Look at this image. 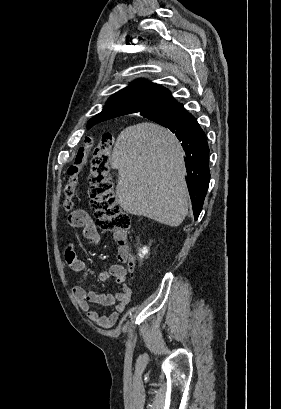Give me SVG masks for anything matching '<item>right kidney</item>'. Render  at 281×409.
<instances>
[{
	"label": "right kidney",
	"instance_id": "obj_1",
	"mask_svg": "<svg viewBox=\"0 0 281 409\" xmlns=\"http://www.w3.org/2000/svg\"><path fill=\"white\" fill-rule=\"evenodd\" d=\"M143 249H147V247H143Z\"/></svg>",
	"mask_w": 281,
	"mask_h": 409
}]
</instances>
